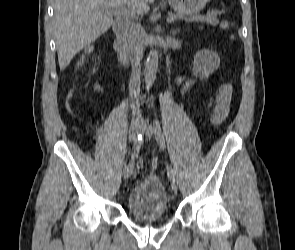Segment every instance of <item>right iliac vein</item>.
Wrapping results in <instances>:
<instances>
[{
  "label": "right iliac vein",
  "mask_w": 295,
  "mask_h": 250,
  "mask_svg": "<svg viewBox=\"0 0 295 250\" xmlns=\"http://www.w3.org/2000/svg\"><path fill=\"white\" fill-rule=\"evenodd\" d=\"M139 130V123L137 120H132L130 125V133L129 138L131 141H134L136 139L137 131ZM131 175V171L124 169V177L129 178Z\"/></svg>",
  "instance_id": "obj_1"
}]
</instances>
